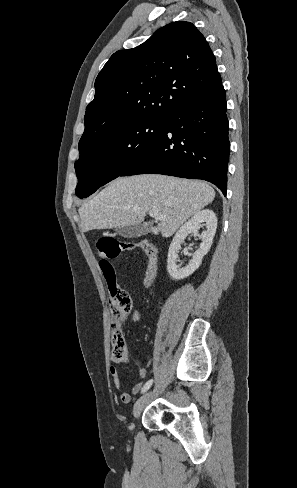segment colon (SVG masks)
Listing matches in <instances>:
<instances>
[{"instance_id": "colon-1", "label": "colon", "mask_w": 297, "mask_h": 488, "mask_svg": "<svg viewBox=\"0 0 297 488\" xmlns=\"http://www.w3.org/2000/svg\"><path fill=\"white\" fill-rule=\"evenodd\" d=\"M97 248L102 256L99 261L100 268L107 281L110 291V308L112 312V359L115 362H125L127 360L128 350L124 335L121 331L122 320L131 311V298L127 291L118 287L116 282V271L110 259L118 257L123 251L139 248L144 251L148 257V267L145 278L147 287L154 283L158 251L148 242L127 243L120 241L112 236L106 235L101 237L97 242Z\"/></svg>"}]
</instances>
